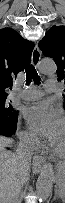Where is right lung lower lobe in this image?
Returning a JSON list of instances; mask_svg holds the SVG:
<instances>
[{
	"mask_svg": "<svg viewBox=\"0 0 65 203\" xmlns=\"http://www.w3.org/2000/svg\"><path fill=\"white\" fill-rule=\"evenodd\" d=\"M17 119L14 121L0 120V135L11 136L15 133Z\"/></svg>",
	"mask_w": 65,
	"mask_h": 203,
	"instance_id": "right-lung-lower-lobe-1",
	"label": "right lung lower lobe"
}]
</instances>
